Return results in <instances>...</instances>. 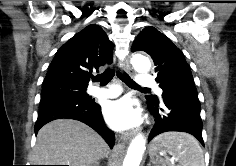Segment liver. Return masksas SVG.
I'll use <instances>...</instances> for the list:
<instances>
[{"label": "liver", "instance_id": "6515ba94", "mask_svg": "<svg viewBox=\"0 0 236 166\" xmlns=\"http://www.w3.org/2000/svg\"><path fill=\"white\" fill-rule=\"evenodd\" d=\"M108 145L93 129L72 119H57L37 134L33 165L93 166L107 156Z\"/></svg>", "mask_w": 236, "mask_h": 166}]
</instances>
